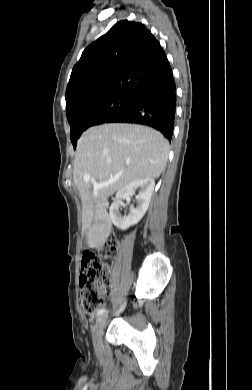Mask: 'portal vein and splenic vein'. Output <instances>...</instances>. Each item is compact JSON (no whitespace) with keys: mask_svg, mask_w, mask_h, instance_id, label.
Returning <instances> with one entry per match:
<instances>
[{"mask_svg":"<svg viewBox=\"0 0 252 390\" xmlns=\"http://www.w3.org/2000/svg\"><path fill=\"white\" fill-rule=\"evenodd\" d=\"M83 180L85 182H91L93 184V188L95 190H97V189L103 188L105 186H108L109 184H112L116 179H113V180H110V181L104 182V183H99V182L95 181L90 175H85L83 177Z\"/></svg>","mask_w":252,"mask_h":390,"instance_id":"1","label":"portal vein and splenic vein"}]
</instances>
